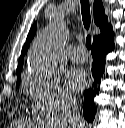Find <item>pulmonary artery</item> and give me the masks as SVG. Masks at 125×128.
<instances>
[{
	"label": "pulmonary artery",
	"instance_id": "e3ab8cb5",
	"mask_svg": "<svg viewBox=\"0 0 125 128\" xmlns=\"http://www.w3.org/2000/svg\"><path fill=\"white\" fill-rule=\"evenodd\" d=\"M69 58L73 62L83 63L87 61L88 55L82 45L76 46L72 51L69 53Z\"/></svg>",
	"mask_w": 125,
	"mask_h": 128
}]
</instances>
